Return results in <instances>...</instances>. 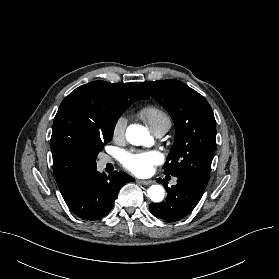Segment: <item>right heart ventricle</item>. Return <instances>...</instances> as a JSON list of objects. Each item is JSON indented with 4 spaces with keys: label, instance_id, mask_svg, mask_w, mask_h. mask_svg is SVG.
<instances>
[{
    "label": "right heart ventricle",
    "instance_id": "1",
    "mask_svg": "<svg viewBox=\"0 0 279 279\" xmlns=\"http://www.w3.org/2000/svg\"><path fill=\"white\" fill-rule=\"evenodd\" d=\"M138 116L149 126L154 133L157 130L171 126L168 114L158 106L148 105L138 111Z\"/></svg>",
    "mask_w": 279,
    "mask_h": 279
}]
</instances>
